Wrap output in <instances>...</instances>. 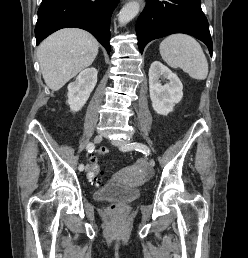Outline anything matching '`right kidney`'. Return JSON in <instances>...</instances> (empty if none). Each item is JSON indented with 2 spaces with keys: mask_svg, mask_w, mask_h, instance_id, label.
<instances>
[{
  "mask_svg": "<svg viewBox=\"0 0 248 258\" xmlns=\"http://www.w3.org/2000/svg\"><path fill=\"white\" fill-rule=\"evenodd\" d=\"M97 70L93 67L80 72L74 82L68 85V104L71 111L77 112L87 102L97 83Z\"/></svg>",
  "mask_w": 248,
  "mask_h": 258,
  "instance_id": "right-kidney-1",
  "label": "right kidney"
}]
</instances>
